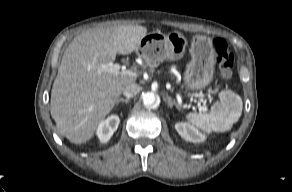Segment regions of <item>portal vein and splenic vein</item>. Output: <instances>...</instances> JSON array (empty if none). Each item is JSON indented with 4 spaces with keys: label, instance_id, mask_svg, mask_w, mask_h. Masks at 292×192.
I'll list each match as a JSON object with an SVG mask.
<instances>
[{
    "label": "portal vein and splenic vein",
    "instance_id": "portal-vein-and-splenic-vein-1",
    "mask_svg": "<svg viewBox=\"0 0 292 192\" xmlns=\"http://www.w3.org/2000/svg\"><path fill=\"white\" fill-rule=\"evenodd\" d=\"M105 69L113 74H127L130 76L136 77V73H134L130 70H122V72H120V70L122 69V66L120 64H117V63H115V64L111 63L108 66H106Z\"/></svg>",
    "mask_w": 292,
    "mask_h": 192
}]
</instances>
